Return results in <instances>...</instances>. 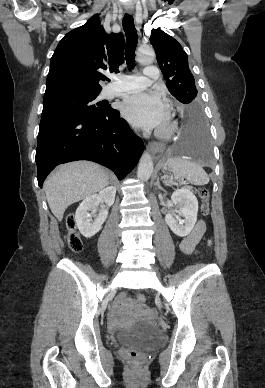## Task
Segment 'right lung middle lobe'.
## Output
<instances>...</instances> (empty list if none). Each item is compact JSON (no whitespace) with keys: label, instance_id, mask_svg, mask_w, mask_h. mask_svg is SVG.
<instances>
[{"label":"right lung middle lobe","instance_id":"dd1d6c3e","mask_svg":"<svg viewBox=\"0 0 265 388\" xmlns=\"http://www.w3.org/2000/svg\"><path fill=\"white\" fill-rule=\"evenodd\" d=\"M99 93H71L45 97L41 119L61 113H104L110 106L96 107L95 98Z\"/></svg>","mask_w":265,"mask_h":388}]
</instances>
